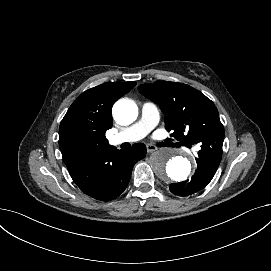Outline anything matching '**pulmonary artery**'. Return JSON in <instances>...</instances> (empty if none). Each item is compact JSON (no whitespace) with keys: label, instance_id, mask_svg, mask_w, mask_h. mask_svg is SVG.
<instances>
[{"label":"pulmonary artery","instance_id":"pulmonary-artery-1","mask_svg":"<svg viewBox=\"0 0 271 271\" xmlns=\"http://www.w3.org/2000/svg\"><path fill=\"white\" fill-rule=\"evenodd\" d=\"M158 121L159 111L157 106L152 102H146L142 105L140 120L127 129L112 134L108 138L109 143L116 146L123 143L137 142L146 135L152 134ZM185 149L195 154H201L203 152L201 145L191 147L189 144H186Z\"/></svg>","mask_w":271,"mask_h":271}]
</instances>
